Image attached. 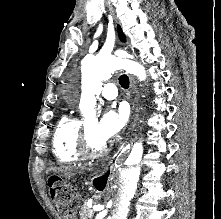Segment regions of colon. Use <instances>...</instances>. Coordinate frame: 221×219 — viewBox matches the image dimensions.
Here are the masks:
<instances>
[{
	"instance_id": "5ec220e1",
	"label": "colon",
	"mask_w": 221,
	"mask_h": 219,
	"mask_svg": "<svg viewBox=\"0 0 221 219\" xmlns=\"http://www.w3.org/2000/svg\"><path fill=\"white\" fill-rule=\"evenodd\" d=\"M51 189L56 192L58 195H62L64 193H67V201L69 202V209L70 212L72 213L73 208H74V203H75V193L72 191H69L67 189V185L65 182L62 181H52L51 182Z\"/></svg>"
}]
</instances>
